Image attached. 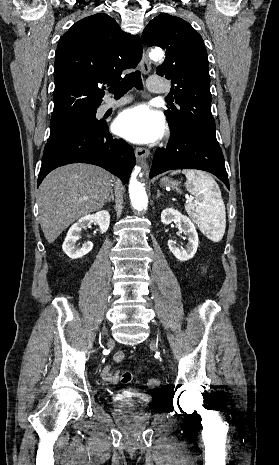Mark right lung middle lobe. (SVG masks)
Masks as SVG:
<instances>
[{
	"instance_id": "dd1d6c3e",
	"label": "right lung middle lobe",
	"mask_w": 279,
	"mask_h": 465,
	"mask_svg": "<svg viewBox=\"0 0 279 465\" xmlns=\"http://www.w3.org/2000/svg\"><path fill=\"white\" fill-rule=\"evenodd\" d=\"M96 110L97 109L87 111L66 122L51 126L50 136L45 146L44 154L50 152L53 148L80 132L101 126L104 121L95 119Z\"/></svg>"
}]
</instances>
